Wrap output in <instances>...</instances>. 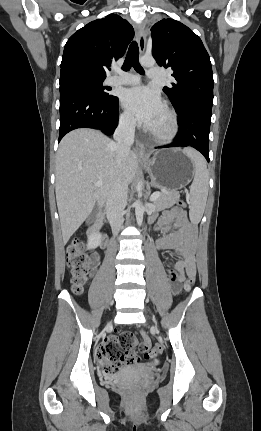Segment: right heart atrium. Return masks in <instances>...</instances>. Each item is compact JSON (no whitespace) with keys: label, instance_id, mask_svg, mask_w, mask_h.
I'll return each instance as SVG.
<instances>
[{"label":"right heart atrium","instance_id":"d8ad5b80","mask_svg":"<svg viewBox=\"0 0 261 431\" xmlns=\"http://www.w3.org/2000/svg\"><path fill=\"white\" fill-rule=\"evenodd\" d=\"M119 124L125 129H131L134 125V122L128 113L122 112L119 116Z\"/></svg>","mask_w":261,"mask_h":431}]
</instances>
